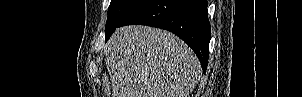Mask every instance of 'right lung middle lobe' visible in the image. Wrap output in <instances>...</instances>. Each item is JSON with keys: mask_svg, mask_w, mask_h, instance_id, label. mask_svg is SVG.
I'll list each match as a JSON object with an SVG mask.
<instances>
[{"mask_svg": "<svg viewBox=\"0 0 302 97\" xmlns=\"http://www.w3.org/2000/svg\"><path fill=\"white\" fill-rule=\"evenodd\" d=\"M144 0H111L105 26L107 41L120 23L135 10Z\"/></svg>", "mask_w": 302, "mask_h": 97, "instance_id": "dd1d6c3e", "label": "right lung middle lobe"}]
</instances>
